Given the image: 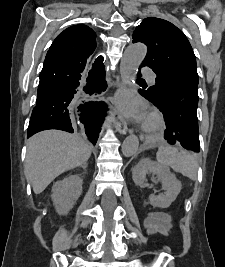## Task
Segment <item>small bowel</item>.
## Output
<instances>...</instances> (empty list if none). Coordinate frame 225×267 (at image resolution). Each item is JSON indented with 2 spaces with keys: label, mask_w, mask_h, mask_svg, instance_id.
Instances as JSON below:
<instances>
[{
  "label": "small bowel",
  "mask_w": 225,
  "mask_h": 267,
  "mask_svg": "<svg viewBox=\"0 0 225 267\" xmlns=\"http://www.w3.org/2000/svg\"><path fill=\"white\" fill-rule=\"evenodd\" d=\"M145 226L149 234L158 232L167 236L172 229L171 217L168 213L152 212L146 217Z\"/></svg>",
  "instance_id": "small-bowel-1"
}]
</instances>
